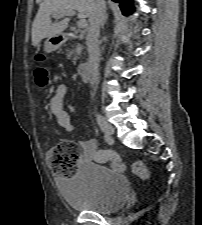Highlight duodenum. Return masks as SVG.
Returning <instances> with one entry per match:
<instances>
[{
  "instance_id": "1",
  "label": "duodenum",
  "mask_w": 202,
  "mask_h": 225,
  "mask_svg": "<svg viewBox=\"0 0 202 225\" xmlns=\"http://www.w3.org/2000/svg\"><path fill=\"white\" fill-rule=\"evenodd\" d=\"M59 41H62L63 38L62 37H58L57 38ZM78 72L80 74V76L85 80L88 81L90 79V66L86 63H82L79 65L78 67Z\"/></svg>"
}]
</instances>
